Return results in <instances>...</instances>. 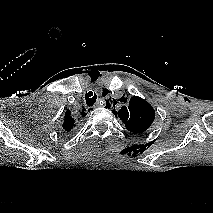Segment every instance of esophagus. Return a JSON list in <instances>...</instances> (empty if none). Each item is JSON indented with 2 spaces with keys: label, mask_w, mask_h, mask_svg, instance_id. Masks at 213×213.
<instances>
[{
  "label": "esophagus",
  "mask_w": 213,
  "mask_h": 213,
  "mask_svg": "<svg viewBox=\"0 0 213 213\" xmlns=\"http://www.w3.org/2000/svg\"><path fill=\"white\" fill-rule=\"evenodd\" d=\"M94 107H95V108L99 107V103H96V104L94 105Z\"/></svg>",
  "instance_id": "1"
}]
</instances>
